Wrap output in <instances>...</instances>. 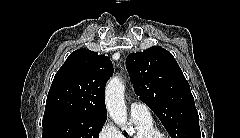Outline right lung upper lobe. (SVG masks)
Returning a JSON list of instances; mask_svg holds the SVG:
<instances>
[{"instance_id": "obj_1", "label": "right lung upper lobe", "mask_w": 240, "mask_h": 138, "mask_svg": "<svg viewBox=\"0 0 240 138\" xmlns=\"http://www.w3.org/2000/svg\"><path fill=\"white\" fill-rule=\"evenodd\" d=\"M112 74L108 57L88 49L74 51L53 79L44 116L68 113L106 120L105 85Z\"/></svg>"}]
</instances>
